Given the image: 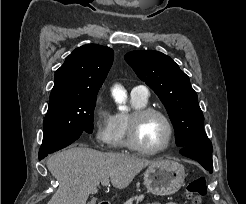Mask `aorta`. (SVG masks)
I'll return each instance as SVG.
<instances>
[{"label": "aorta", "mask_w": 246, "mask_h": 204, "mask_svg": "<svg viewBox=\"0 0 246 204\" xmlns=\"http://www.w3.org/2000/svg\"><path fill=\"white\" fill-rule=\"evenodd\" d=\"M113 96L115 98V101L119 104V110H121V111H127L128 109L124 105L125 104V101H126V98H127L126 91L123 90L120 87H116L113 90Z\"/></svg>", "instance_id": "obj_1"}]
</instances>
